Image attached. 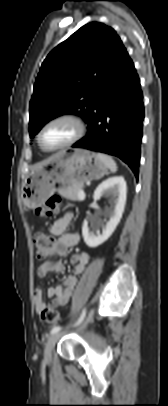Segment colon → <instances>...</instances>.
<instances>
[{
    "label": "colon",
    "mask_w": 168,
    "mask_h": 406,
    "mask_svg": "<svg viewBox=\"0 0 168 406\" xmlns=\"http://www.w3.org/2000/svg\"><path fill=\"white\" fill-rule=\"evenodd\" d=\"M60 202L61 199L59 196H51L44 205L36 208V214L41 217H51L57 212ZM55 242L56 241L51 236L43 233H36L33 237L36 259H46L52 252ZM41 316L49 324H58L61 321L58 311L53 308H44L41 311Z\"/></svg>",
    "instance_id": "colon-1"
}]
</instances>
